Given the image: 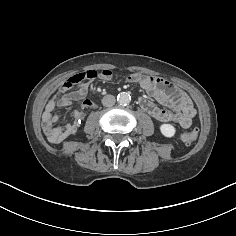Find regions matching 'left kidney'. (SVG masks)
I'll return each instance as SVG.
<instances>
[{
    "label": "left kidney",
    "instance_id": "1",
    "mask_svg": "<svg viewBox=\"0 0 236 236\" xmlns=\"http://www.w3.org/2000/svg\"><path fill=\"white\" fill-rule=\"evenodd\" d=\"M160 131L165 137H173L175 135V127L171 124H162L160 126Z\"/></svg>",
    "mask_w": 236,
    "mask_h": 236
}]
</instances>
